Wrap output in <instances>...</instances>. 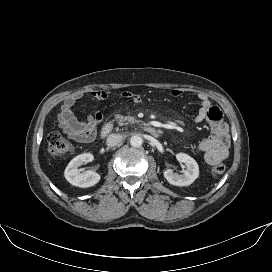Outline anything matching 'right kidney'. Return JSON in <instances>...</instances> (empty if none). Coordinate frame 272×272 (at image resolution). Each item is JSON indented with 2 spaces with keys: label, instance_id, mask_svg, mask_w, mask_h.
Masks as SVG:
<instances>
[{
  "label": "right kidney",
  "instance_id": "ca27d5eb",
  "mask_svg": "<svg viewBox=\"0 0 272 272\" xmlns=\"http://www.w3.org/2000/svg\"><path fill=\"white\" fill-rule=\"evenodd\" d=\"M93 155L90 153H84L73 158L67 165L64 176L66 180L77 187L87 188L94 186L100 181V175L91 170L80 172L78 167L84 163L91 162Z\"/></svg>",
  "mask_w": 272,
  "mask_h": 272
}]
</instances>
